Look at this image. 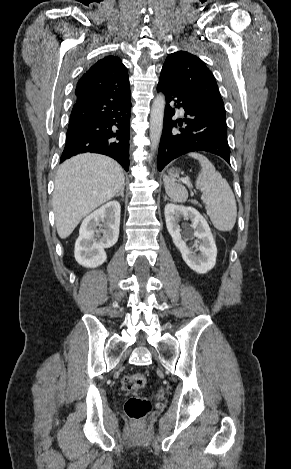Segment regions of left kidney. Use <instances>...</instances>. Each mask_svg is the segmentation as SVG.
Here are the masks:
<instances>
[{
  "instance_id": "1",
  "label": "left kidney",
  "mask_w": 291,
  "mask_h": 469,
  "mask_svg": "<svg viewBox=\"0 0 291 469\" xmlns=\"http://www.w3.org/2000/svg\"><path fill=\"white\" fill-rule=\"evenodd\" d=\"M165 221L175 246L180 250L185 263L195 272L205 274L216 264L217 248L210 227L205 218L193 207L169 203L165 206ZM181 218L191 220L192 235L199 241L188 247L187 236L181 234ZM195 248V250L193 249ZM200 251V254H196Z\"/></svg>"
}]
</instances>
